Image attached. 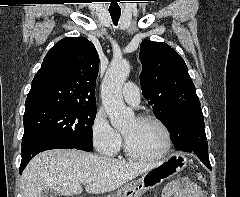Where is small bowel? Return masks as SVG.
<instances>
[{
	"label": "small bowel",
	"instance_id": "obj_1",
	"mask_svg": "<svg viewBox=\"0 0 240 197\" xmlns=\"http://www.w3.org/2000/svg\"><path fill=\"white\" fill-rule=\"evenodd\" d=\"M164 197H206V193L199 185L184 180L168 187Z\"/></svg>",
	"mask_w": 240,
	"mask_h": 197
}]
</instances>
